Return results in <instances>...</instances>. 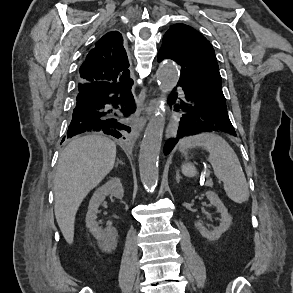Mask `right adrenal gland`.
<instances>
[{
    "label": "right adrenal gland",
    "instance_id": "2a0ac1e0",
    "mask_svg": "<svg viewBox=\"0 0 293 293\" xmlns=\"http://www.w3.org/2000/svg\"><path fill=\"white\" fill-rule=\"evenodd\" d=\"M119 164L123 165L124 163L121 160L117 159L115 167L117 168Z\"/></svg>",
    "mask_w": 293,
    "mask_h": 293
}]
</instances>
